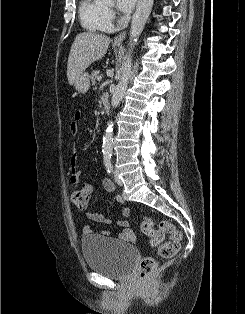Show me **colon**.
<instances>
[{"label":"colon","instance_id":"1","mask_svg":"<svg viewBox=\"0 0 245 314\" xmlns=\"http://www.w3.org/2000/svg\"><path fill=\"white\" fill-rule=\"evenodd\" d=\"M89 197V193L81 189L72 193L71 200L77 208L85 209L88 205ZM142 231L150 238L151 244L158 247V255L161 258H171L177 253L182 239V234L170 222L161 220L156 227L152 218L145 216L142 223ZM165 233L170 235V239L169 241L163 243ZM155 265L156 263L154 258H143L138 266L140 279L145 280L154 270Z\"/></svg>","mask_w":245,"mask_h":314}]
</instances>
